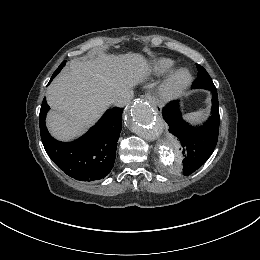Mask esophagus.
Here are the masks:
<instances>
[{
	"mask_svg": "<svg viewBox=\"0 0 260 260\" xmlns=\"http://www.w3.org/2000/svg\"><path fill=\"white\" fill-rule=\"evenodd\" d=\"M145 98H146V99H150V95H149V94H146V95H145Z\"/></svg>",
	"mask_w": 260,
	"mask_h": 260,
	"instance_id": "1",
	"label": "esophagus"
}]
</instances>
